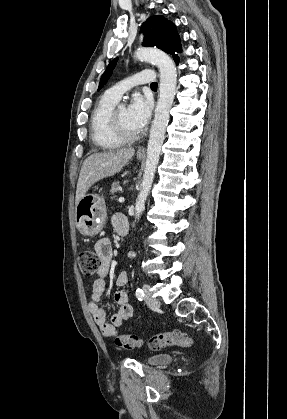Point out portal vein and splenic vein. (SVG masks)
<instances>
[{"mask_svg":"<svg viewBox=\"0 0 287 419\" xmlns=\"http://www.w3.org/2000/svg\"><path fill=\"white\" fill-rule=\"evenodd\" d=\"M119 202H124V197H120Z\"/></svg>","mask_w":287,"mask_h":419,"instance_id":"1","label":"portal vein and splenic vein"}]
</instances>
